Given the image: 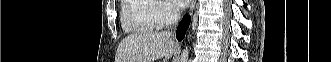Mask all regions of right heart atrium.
<instances>
[{"instance_id": "d8ad5b80", "label": "right heart atrium", "mask_w": 331, "mask_h": 62, "mask_svg": "<svg viewBox=\"0 0 331 62\" xmlns=\"http://www.w3.org/2000/svg\"><path fill=\"white\" fill-rule=\"evenodd\" d=\"M147 2L152 6L149 19L154 28L165 27L176 19L177 12L167 1L147 0Z\"/></svg>"}]
</instances>
